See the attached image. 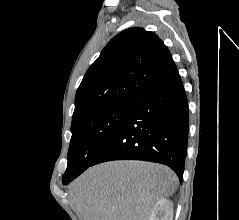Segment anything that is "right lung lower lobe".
<instances>
[{
    "mask_svg": "<svg viewBox=\"0 0 239 220\" xmlns=\"http://www.w3.org/2000/svg\"><path fill=\"white\" fill-rule=\"evenodd\" d=\"M188 102L175 69L131 102L127 115L92 165L145 160L170 167L182 182L189 130Z\"/></svg>",
    "mask_w": 239,
    "mask_h": 220,
    "instance_id": "98d812e1",
    "label": "right lung lower lobe"
}]
</instances>
